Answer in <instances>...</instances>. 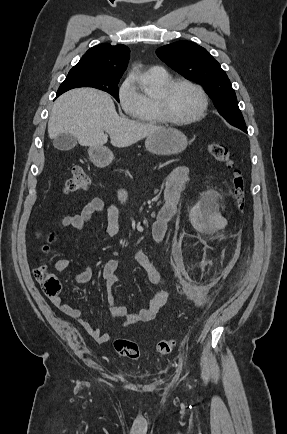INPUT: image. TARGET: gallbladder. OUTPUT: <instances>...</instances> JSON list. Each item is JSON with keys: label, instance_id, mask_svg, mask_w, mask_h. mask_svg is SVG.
<instances>
[{"label": "gallbladder", "instance_id": "1", "mask_svg": "<svg viewBox=\"0 0 287 434\" xmlns=\"http://www.w3.org/2000/svg\"><path fill=\"white\" fill-rule=\"evenodd\" d=\"M78 144V140L71 134L58 135L53 140V146L62 151H68L73 149Z\"/></svg>", "mask_w": 287, "mask_h": 434}]
</instances>
